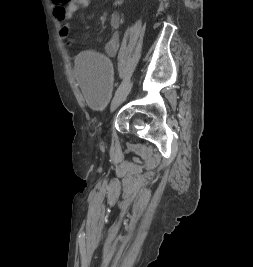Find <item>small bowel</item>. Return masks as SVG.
<instances>
[{
  "mask_svg": "<svg viewBox=\"0 0 253 267\" xmlns=\"http://www.w3.org/2000/svg\"><path fill=\"white\" fill-rule=\"evenodd\" d=\"M111 2L114 5H120L122 0H105ZM91 4V0H51V6L55 17L63 23L62 28L69 29V34L64 38L68 43H71L70 38V22L74 14L79 9L88 8ZM121 14L119 12H113L110 16L109 23L113 30L111 36L104 45V52L108 56H116L120 47V34L119 29L121 26Z\"/></svg>",
  "mask_w": 253,
  "mask_h": 267,
  "instance_id": "1",
  "label": "small bowel"
}]
</instances>
